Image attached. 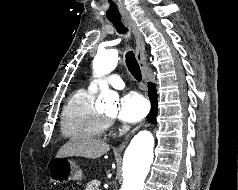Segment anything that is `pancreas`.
I'll use <instances>...</instances> for the list:
<instances>
[{
  "label": "pancreas",
  "instance_id": "obj_1",
  "mask_svg": "<svg viewBox=\"0 0 238 190\" xmlns=\"http://www.w3.org/2000/svg\"><path fill=\"white\" fill-rule=\"evenodd\" d=\"M100 182L98 180H92L86 185L85 190H100L99 189Z\"/></svg>",
  "mask_w": 238,
  "mask_h": 190
}]
</instances>
